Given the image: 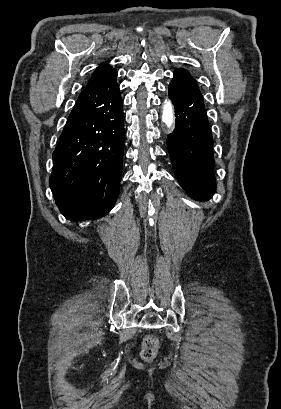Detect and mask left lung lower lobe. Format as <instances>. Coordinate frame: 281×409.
<instances>
[{"mask_svg": "<svg viewBox=\"0 0 281 409\" xmlns=\"http://www.w3.org/2000/svg\"><path fill=\"white\" fill-rule=\"evenodd\" d=\"M176 123L167 138L174 173L195 200H208L215 192L213 138L202 94L194 78L177 69L168 87Z\"/></svg>", "mask_w": 281, "mask_h": 409, "instance_id": "left-lung-lower-lobe-1", "label": "left lung lower lobe"}]
</instances>
